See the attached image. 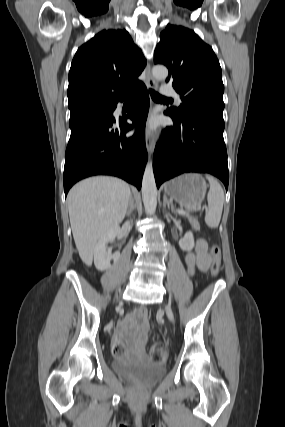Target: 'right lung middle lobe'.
Returning <instances> with one entry per match:
<instances>
[{
  "instance_id": "right-lung-middle-lobe-1",
  "label": "right lung middle lobe",
  "mask_w": 285,
  "mask_h": 427,
  "mask_svg": "<svg viewBox=\"0 0 285 427\" xmlns=\"http://www.w3.org/2000/svg\"><path fill=\"white\" fill-rule=\"evenodd\" d=\"M113 105H95L87 107L81 111L71 113L69 125H73L77 120L86 115H113Z\"/></svg>"
}]
</instances>
